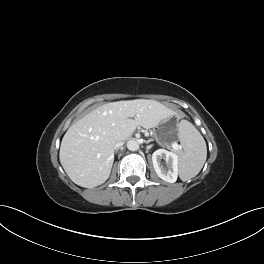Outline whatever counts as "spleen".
<instances>
[{"label":"spleen","mask_w":264,"mask_h":264,"mask_svg":"<svg viewBox=\"0 0 264 264\" xmlns=\"http://www.w3.org/2000/svg\"><path fill=\"white\" fill-rule=\"evenodd\" d=\"M178 138L183 148L178 153L179 177L182 181H187L201 171L206 161V142L195 126L187 120H181L178 124Z\"/></svg>","instance_id":"spleen-1"}]
</instances>
